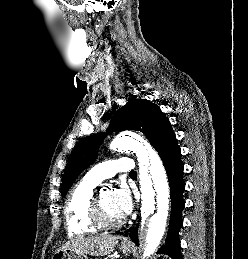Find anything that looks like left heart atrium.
Returning a JSON list of instances; mask_svg holds the SVG:
<instances>
[{
    "label": "left heart atrium",
    "mask_w": 248,
    "mask_h": 259,
    "mask_svg": "<svg viewBox=\"0 0 248 259\" xmlns=\"http://www.w3.org/2000/svg\"><path fill=\"white\" fill-rule=\"evenodd\" d=\"M114 205L122 217L130 214L133 203L129 190L125 186L117 188L112 195Z\"/></svg>",
    "instance_id": "left-heart-atrium-1"
}]
</instances>
